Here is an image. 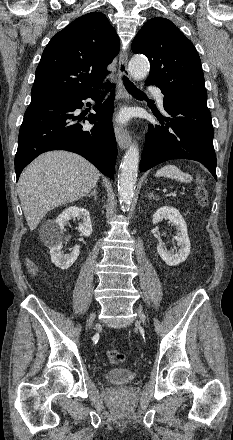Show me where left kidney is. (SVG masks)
Masks as SVG:
<instances>
[{"label": "left kidney", "mask_w": 233, "mask_h": 440, "mask_svg": "<svg viewBox=\"0 0 233 440\" xmlns=\"http://www.w3.org/2000/svg\"><path fill=\"white\" fill-rule=\"evenodd\" d=\"M163 219H168L179 231L178 236L175 237L177 242L178 251L166 250L161 244L157 246V252L162 260L169 266H176L184 262L190 254V240L187 233V225L180 212L173 208L164 206L159 208L152 217V223L157 224Z\"/></svg>", "instance_id": "5707ae66"}]
</instances>
